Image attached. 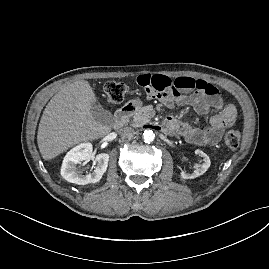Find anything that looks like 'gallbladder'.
I'll return each mask as SVG.
<instances>
[{
	"label": "gallbladder",
	"instance_id": "obj_1",
	"mask_svg": "<svg viewBox=\"0 0 269 269\" xmlns=\"http://www.w3.org/2000/svg\"><path fill=\"white\" fill-rule=\"evenodd\" d=\"M92 115L100 123L112 125L114 122L112 114L103 108L99 102L92 103Z\"/></svg>",
	"mask_w": 269,
	"mask_h": 269
}]
</instances>
